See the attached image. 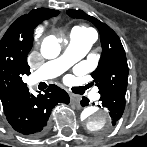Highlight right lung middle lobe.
Here are the masks:
<instances>
[{
	"label": "right lung middle lobe",
	"instance_id": "obj_1",
	"mask_svg": "<svg viewBox=\"0 0 147 147\" xmlns=\"http://www.w3.org/2000/svg\"><path fill=\"white\" fill-rule=\"evenodd\" d=\"M30 34H31V35L33 34V30L30 31Z\"/></svg>",
	"mask_w": 147,
	"mask_h": 147
}]
</instances>
